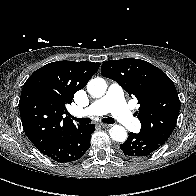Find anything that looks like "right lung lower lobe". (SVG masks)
<instances>
[{
	"label": "right lung lower lobe",
	"mask_w": 196,
	"mask_h": 196,
	"mask_svg": "<svg viewBox=\"0 0 196 196\" xmlns=\"http://www.w3.org/2000/svg\"><path fill=\"white\" fill-rule=\"evenodd\" d=\"M94 131V124L78 125L41 153L57 162L75 161L90 147V138Z\"/></svg>",
	"instance_id": "1"
}]
</instances>
